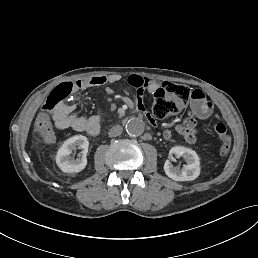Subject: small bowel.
<instances>
[{
	"label": "small bowel",
	"mask_w": 258,
	"mask_h": 258,
	"mask_svg": "<svg viewBox=\"0 0 258 258\" xmlns=\"http://www.w3.org/2000/svg\"><path fill=\"white\" fill-rule=\"evenodd\" d=\"M122 80L119 74L95 75L84 79H79L75 83L76 91L91 87H106L110 84L118 83ZM127 82L136 88V101L138 109L145 115L148 121L156 124L153 115L147 111L143 94L154 86V83L142 76L132 75L127 78ZM212 103L205 98V95L200 90H194L191 95L190 109L188 116L179 124L176 125V132L189 144H193L197 140V119L207 118L212 111ZM54 126L59 130L73 129L79 132H87L91 136H96L100 132V119L96 115L79 116L72 112L70 104H65L53 113ZM38 133L41 141L46 145H51L55 142V133L52 122L40 115L38 119ZM172 131L166 129L163 132L165 140L172 138Z\"/></svg>",
	"instance_id": "c3829d8e"
}]
</instances>
